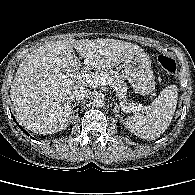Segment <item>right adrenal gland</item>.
<instances>
[{
    "label": "right adrenal gland",
    "mask_w": 195,
    "mask_h": 195,
    "mask_svg": "<svg viewBox=\"0 0 195 195\" xmlns=\"http://www.w3.org/2000/svg\"><path fill=\"white\" fill-rule=\"evenodd\" d=\"M77 106H78L77 103H75V104L72 106V112H73V110H74Z\"/></svg>",
    "instance_id": "right-adrenal-gland-1"
}]
</instances>
